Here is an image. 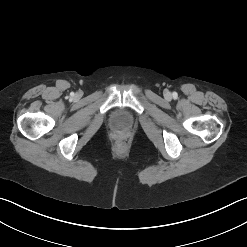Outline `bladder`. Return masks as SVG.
Wrapping results in <instances>:
<instances>
[{"label": "bladder", "mask_w": 247, "mask_h": 247, "mask_svg": "<svg viewBox=\"0 0 247 247\" xmlns=\"http://www.w3.org/2000/svg\"><path fill=\"white\" fill-rule=\"evenodd\" d=\"M110 122L115 129L125 130L133 125L134 118L126 109L118 108L112 112Z\"/></svg>", "instance_id": "31cf9c89"}]
</instances>
